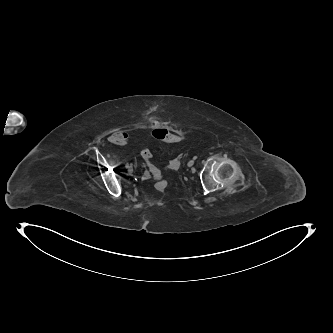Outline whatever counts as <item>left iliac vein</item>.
<instances>
[{"label": "left iliac vein", "instance_id": "1", "mask_svg": "<svg viewBox=\"0 0 333 333\" xmlns=\"http://www.w3.org/2000/svg\"><path fill=\"white\" fill-rule=\"evenodd\" d=\"M188 167H191V166H193L194 165V160H190L189 162H188Z\"/></svg>", "mask_w": 333, "mask_h": 333}]
</instances>
